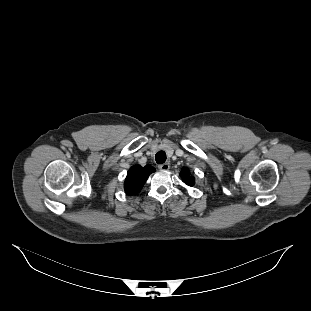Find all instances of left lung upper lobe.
Returning <instances> with one entry per match:
<instances>
[{
    "label": "left lung upper lobe",
    "mask_w": 311,
    "mask_h": 311,
    "mask_svg": "<svg viewBox=\"0 0 311 311\" xmlns=\"http://www.w3.org/2000/svg\"><path fill=\"white\" fill-rule=\"evenodd\" d=\"M180 176L182 178V181L188 185L193 186L194 185V178L190 176V171L187 168H182V171L180 172Z\"/></svg>",
    "instance_id": "obj_1"
}]
</instances>
